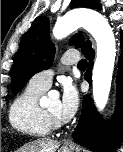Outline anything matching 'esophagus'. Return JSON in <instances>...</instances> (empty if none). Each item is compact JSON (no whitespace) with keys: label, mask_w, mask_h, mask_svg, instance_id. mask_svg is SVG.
Instances as JSON below:
<instances>
[{"label":"esophagus","mask_w":123,"mask_h":152,"mask_svg":"<svg viewBox=\"0 0 123 152\" xmlns=\"http://www.w3.org/2000/svg\"><path fill=\"white\" fill-rule=\"evenodd\" d=\"M91 40H92V39H91ZM92 43H93V48H95V44H94L93 40H92Z\"/></svg>","instance_id":"34e87169"}]
</instances>
